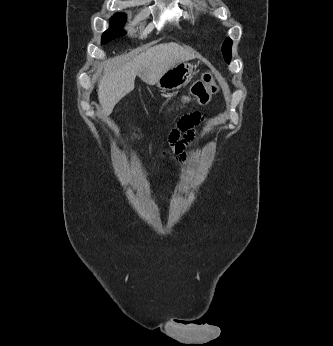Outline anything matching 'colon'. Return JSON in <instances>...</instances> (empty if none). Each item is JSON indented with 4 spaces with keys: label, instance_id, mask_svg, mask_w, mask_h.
<instances>
[{
    "label": "colon",
    "instance_id": "colon-1",
    "mask_svg": "<svg viewBox=\"0 0 333 346\" xmlns=\"http://www.w3.org/2000/svg\"><path fill=\"white\" fill-rule=\"evenodd\" d=\"M217 88L212 82V75L206 73L202 79L196 81L190 89V92L183 97V102L187 105L206 104L212 94L216 92ZM188 116L199 117L196 112L187 114ZM200 118V117H199Z\"/></svg>",
    "mask_w": 333,
    "mask_h": 346
}]
</instances>
